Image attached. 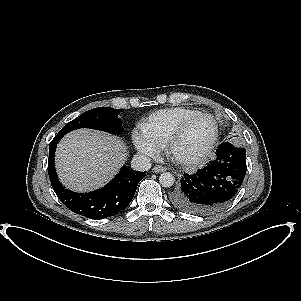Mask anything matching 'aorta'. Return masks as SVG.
<instances>
[{
	"instance_id": "obj_1",
	"label": "aorta",
	"mask_w": 301,
	"mask_h": 301,
	"mask_svg": "<svg viewBox=\"0 0 301 301\" xmlns=\"http://www.w3.org/2000/svg\"><path fill=\"white\" fill-rule=\"evenodd\" d=\"M175 182L174 176L170 172H163L159 176V183L162 187L169 188Z\"/></svg>"
}]
</instances>
